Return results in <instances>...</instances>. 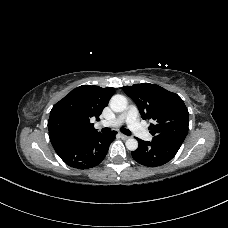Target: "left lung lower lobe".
<instances>
[{
	"label": "left lung lower lobe",
	"instance_id": "0a47b994",
	"mask_svg": "<svg viewBox=\"0 0 228 228\" xmlns=\"http://www.w3.org/2000/svg\"><path fill=\"white\" fill-rule=\"evenodd\" d=\"M139 147L132 151L134 160L149 167L169 162L178 152L182 142L170 139H153L151 142L138 139Z\"/></svg>",
	"mask_w": 228,
	"mask_h": 228
}]
</instances>
